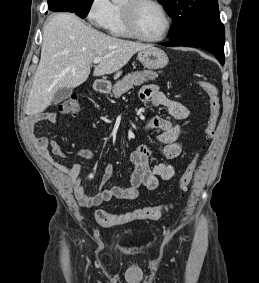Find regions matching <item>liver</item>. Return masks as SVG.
Masks as SVG:
<instances>
[{
  "label": "liver",
  "mask_w": 259,
  "mask_h": 283,
  "mask_svg": "<svg viewBox=\"0 0 259 283\" xmlns=\"http://www.w3.org/2000/svg\"><path fill=\"white\" fill-rule=\"evenodd\" d=\"M149 45L106 35L87 26L76 15L57 13L43 27L41 58L29 92L26 114L42 113L60 88L84 83L95 58H102L93 75L115 73Z\"/></svg>",
  "instance_id": "liver-1"
}]
</instances>
